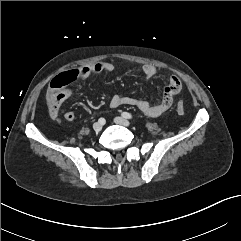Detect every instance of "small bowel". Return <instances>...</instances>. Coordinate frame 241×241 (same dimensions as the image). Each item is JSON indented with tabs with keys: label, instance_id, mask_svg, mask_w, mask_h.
<instances>
[{
	"label": "small bowel",
	"instance_id": "small-bowel-1",
	"mask_svg": "<svg viewBox=\"0 0 241 241\" xmlns=\"http://www.w3.org/2000/svg\"><path fill=\"white\" fill-rule=\"evenodd\" d=\"M82 68L84 69V76L81 79L100 73L112 72L115 67L110 62H97L82 66ZM142 73L146 78H152L156 74V69L152 65H145L142 67ZM181 89V80L177 76L172 75L169 77L168 84L163 91L162 99L158 103L153 104L144 99L130 96L114 95L111 97L109 104L112 108H117L122 105L133 106L138 108L144 115L148 117H158L170 108L174 98L178 95ZM71 95V89L62 88L58 90L54 95H49L47 97L48 113L53 121L58 120L60 106ZM63 116L64 119L69 122H72L75 119V114L73 111H66Z\"/></svg>",
	"mask_w": 241,
	"mask_h": 241
}]
</instances>
